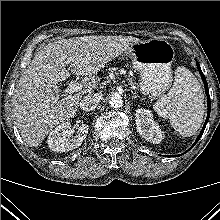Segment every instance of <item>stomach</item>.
<instances>
[{
  "label": "stomach",
  "mask_w": 220,
  "mask_h": 220,
  "mask_svg": "<svg viewBox=\"0 0 220 220\" xmlns=\"http://www.w3.org/2000/svg\"><path fill=\"white\" fill-rule=\"evenodd\" d=\"M125 53L139 73L140 90L144 95L154 99L170 88L173 80L171 64L175 53L168 41H139L132 44Z\"/></svg>",
  "instance_id": "stomach-1"
}]
</instances>
